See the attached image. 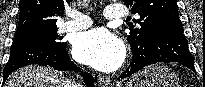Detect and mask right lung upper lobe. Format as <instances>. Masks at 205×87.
Returning a JSON list of instances; mask_svg holds the SVG:
<instances>
[{
	"mask_svg": "<svg viewBox=\"0 0 205 87\" xmlns=\"http://www.w3.org/2000/svg\"><path fill=\"white\" fill-rule=\"evenodd\" d=\"M71 0H21L17 32L57 28V17Z\"/></svg>",
	"mask_w": 205,
	"mask_h": 87,
	"instance_id": "obj_1",
	"label": "right lung upper lobe"
}]
</instances>
